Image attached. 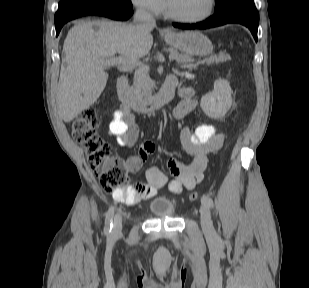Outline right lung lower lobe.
<instances>
[{
    "instance_id": "obj_1",
    "label": "right lung lower lobe",
    "mask_w": 309,
    "mask_h": 288,
    "mask_svg": "<svg viewBox=\"0 0 309 288\" xmlns=\"http://www.w3.org/2000/svg\"><path fill=\"white\" fill-rule=\"evenodd\" d=\"M87 15L105 16L115 20H127L132 15V5L107 1L84 4L55 20L56 36H58L62 26L66 22Z\"/></svg>"
}]
</instances>
